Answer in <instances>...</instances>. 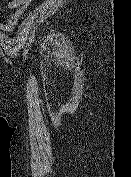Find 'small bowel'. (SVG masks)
Instances as JSON below:
<instances>
[{"label":"small bowel","instance_id":"small-bowel-1","mask_svg":"<svg viewBox=\"0 0 131 177\" xmlns=\"http://www.w3.org/2000/svg\"><path fill=\"white\" fill-rule=\"evenodd\" d=\"M31 2L32 0H11L6 3V6L10 9H14V12L9 20L5 24L1 25V29L4 31H11Z\"/></svg>","mask_w":131,"mask_h":177}]
</instances>
